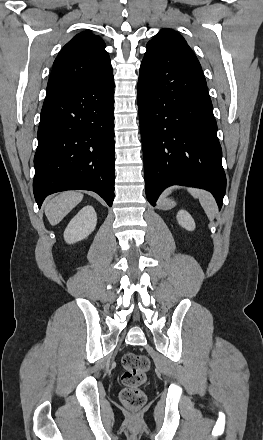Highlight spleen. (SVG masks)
I'll return each instance as SVG.
<instances>
[{
	"label": "spleen",
	"instance_id": "spleen-1",
	"mask_svg": "<svg viewBox=\"0 0 263 440\" xmlns=\"http://www.w3.org/2000/svg\"><path fill=\"white\" fill-rule=\"evenodd\" d=\"M188 191L194 198L199 199L207 217L213 220L217 211V205L213 196L209 192L201 189L189 188Z\"/></svg>",
	"mask_w": 263,
	"mask_h": 440
}]
</instances>
